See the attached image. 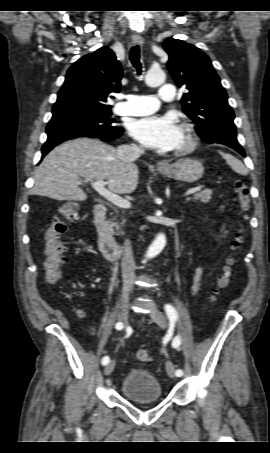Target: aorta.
<instances>
[{"label":"aorta","mask_w":270,"mask_h":453,"mask_svg":"<svg viewBox=\"0 0 270 453\" xmlns=\"http://www.w3.org/2000/svg\"><path fill=\"white\" fill-rule=\"evenodd\" d=\"M145 81L148 86L155 87L161 85L165 81V73L161 69H150L146 76ZM166 237L164 234H158L156 239L149 247L146 258H153L157 256L165 247Z\"/></svg>","instance_id":"762f6f07"}]
</instances>
